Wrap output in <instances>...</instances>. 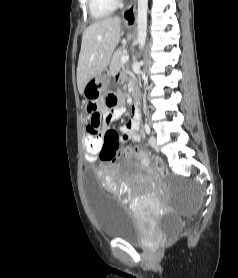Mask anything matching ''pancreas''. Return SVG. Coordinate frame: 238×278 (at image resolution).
<instances>
[{
    "mask_svg": "<svg viewBox=\"0 0 238 278\" xmlns=\"http://www.w3.org/2000/svg\"><path fill=\"white\" fill-rule=\"evenodd\" d=\"M124 56V52L122 49H118L112 56L111 63H110V73L115 75L123 66L121 63V59Z\"/></svg>",
    "mask_w": 238,
    "mask_h": 278,
    "instance_id": "obj_1",
    "label": "pancreas"
}]
</instances>
